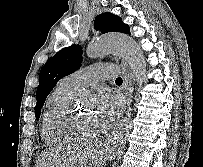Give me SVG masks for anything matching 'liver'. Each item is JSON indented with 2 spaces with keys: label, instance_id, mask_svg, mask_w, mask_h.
I'll list each match as a JSON object with an SVG mask.
<instances>
[{
  "label": "liver",
  "instance_id": "liver-1",
  "mask_svg": "<svg viewBox=\"0 0 203 167\" xmlns=\"http://www.w3.org/2000/svg\"><path fill=\"white\" fill-rule=\"evenodd\" d=\"M96 146H67L59 150L44 151L36 167H86L88 162L98 164Z\"/></svg>",
  "mask_w": 203,
  "mask_h": 167
}]
</instances>
